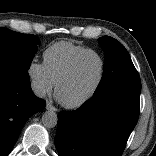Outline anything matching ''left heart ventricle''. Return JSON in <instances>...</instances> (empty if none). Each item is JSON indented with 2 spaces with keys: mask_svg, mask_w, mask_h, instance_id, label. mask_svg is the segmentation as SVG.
<instances>
[{
  "mask_svg": "<svg viewBox=\"0 0 156 156\" xmlns=\"http://www.w3.org/2000/svg\"><path fill=\"white\" fill-rule=\"evenodd\" d=\"M101 71L99 58L94 54L83 57L72 76L59 89L61 101L73 103L87 95L97 83Z\"/></svg>",
  "mask_w": 156,
  "mask_h": 156,
  "instance_id": "1",
  "label": "left heart ventricle"
}]
</instances>
